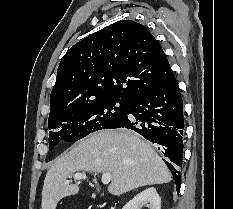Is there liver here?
Wrapping results in <instances>:
<instances>
[{
    "label": "liver",
    "instance_id": "liver-1",
    "mask_svg": "<svg viewBox=\"0 0 233 209\" xmlns=\"http://www.w3.org/2000/svg\"><path fill=\"white\" fill-rule=\"evenodd\" d=\"M80 171L110 173L108 192L116 196L172 180L160 156L139 136L131 131L103 130L78 142L49 168L41 209H56L59 200L77 194L78 185L65 182Z\"/></svg>",
    "mask_w": 233,
    "mask_h": 209
}]
</instances>
